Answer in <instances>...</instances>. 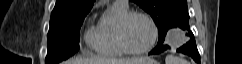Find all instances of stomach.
<instances>
[{
	"label": "stomach",
	"mask_w": 242,
	"mask_h": 64,
	"mask_svg": "<svg viewBox=\"0 0 242 64\" xmlns=\"http://www.w3.org/2000/svg\"><path fill=\"white\" fill-rule=\"evenodd\" d=\"M142 64H159V63L153 59H149L147 62L142 63Z\"/></svg>",
	"instance_id": "stomach-1"
}]
</instances>
